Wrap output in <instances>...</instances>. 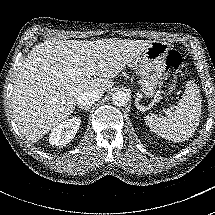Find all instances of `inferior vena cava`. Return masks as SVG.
Instances as JSON below:
<instances>
[{
    "label": "inferior vena cava",
    "instance_id": "1",
    "mask_svg": "<svg viewBox=\"0 0 215 215\" xmlns=\"http://www.w3.org/2000/svg\"><path fill=\"white\" fill-rule=\"evenodd\" d=\"M103 91L84 92L77 97V104L82 107H89L103 96Z\"/></svg>",
    "mask_w": 215,
    "mask_h": 215
}]
</instances>
